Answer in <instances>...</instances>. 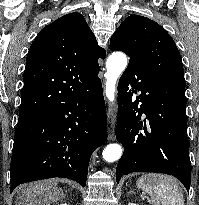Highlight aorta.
Listing matches in <instances>:
<instances>
[{
    "label": "aorta",
    "mask_w": 199,
    "mask_h": 205,
    "mask_svg": "<svg viewBox=\"0 0 199 205\" xmlns=\"http://www.w3.org/2000/svg\"><path fill=\"white\" fill-rule=\"evenodd\" d=\"M127 66L126 55L122 52H115L109 56L106 62V86L105 94L110 102L115 99L116 82ZM122 155V147L119 144L108 145L103 153V159L107 162H114Z\"/></svg>",
    "instance_id": "aorta-1"
}]
</instances>
